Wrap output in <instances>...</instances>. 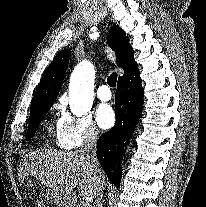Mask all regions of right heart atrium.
I'll use <instances>...</instances> for the list:
<instances>
[{
	"mask_svg": "<svg viewBox=\"0 0 206 207\" xmlns=\"http://www.w3.org/2000/svg\"><path fill=\"white\" fill-rule=\"evenodd\" d=\"M99 132L90 116H76L63 110L58 122L57 142L64 149L91 147L97 143Z\"/></svg>",
	"mask_w": 206,
	"mask_h": 207,
	"instance_id": "1",
	"label": "right heart atrium"
}]
</instances>
